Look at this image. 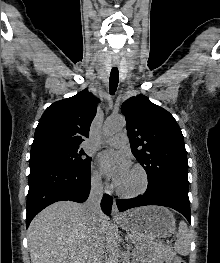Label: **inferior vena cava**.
<instances>
[{
    "label": "inferior vena cava",
    "instance_id": "obj_1",
    "mask_svg": "<svg viewBox=\"0 0 220 263\" xmlns=\"http://www.w3.org/2000/svg\"><path fill=\"white\" fill-rule=\"evenodd\" d=\"M102 197V181L100 178L93 179L91 182L89 197L84 204L86 213L92 224L91 248L87 263H101L102 254L105 249L104 235L96 225L99 217L103 214L100 207Z\"/></svg>",
    "mask_w": 220,
    "mask_h": 263
}]
</instances>
